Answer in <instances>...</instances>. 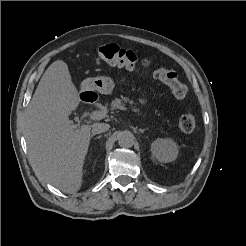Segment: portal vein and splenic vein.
I'll return each mask as SVG.
<instances>
[{
    "instance_id": "obj_1",
    "label": "portal vein and splenic vein",
    "mask_w": 246,
    "mask_h": 246,
    "mask_svg": "<svg viewBox=\"0 0 246 246\" xmlns=\"http://www.w3.org/2000/svg\"><path fill=\"white\" fill-rule=\"evenodd\" d=\"M120 110L126 111L127 108L124 106L119 107ZM107 116V111H94L90 114L89 118L90 120H101Z\"/></svg>"
}]
</instances>
